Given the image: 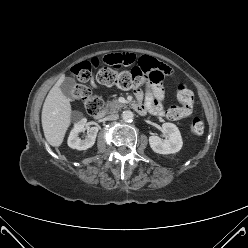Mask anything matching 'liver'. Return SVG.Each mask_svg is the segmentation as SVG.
<instances>
[{
    "label": "liver",
    "mask_w": 248,
    "mask_h": 248,
    "mask_svg": "<svg viewBox=\"0 0 248 248\" xmlns=\"http://www.w3.org/2000/svg\"><path fill=\"white\" fill-rule=\"evenodd\" d=\"M65 80L62 75L49 91L42 109V127L47 142L59 147L71 124L72 109L69 99L62 93L60 85Z\"/></svg>",
    "instance_id": "6515ba94"
}]
</instances>
